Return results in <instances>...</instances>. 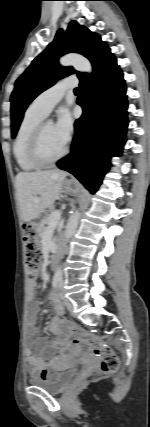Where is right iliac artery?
<instances>
[{"label":"right iliac artery","instance_id":"1","mask_svg":"<svg viewBox=\"0 0 150 427\" xmlns=\"http://www.w3.org/2000/svg\"><path fill=\"white\" fill-rule=\"evenodd\" d=\"M52 285H53V287H54V288H57V286H58V281L54 280V281L52 282Z\"/></svg>","mask_w":150,"mask_h":427}]
</instances>
